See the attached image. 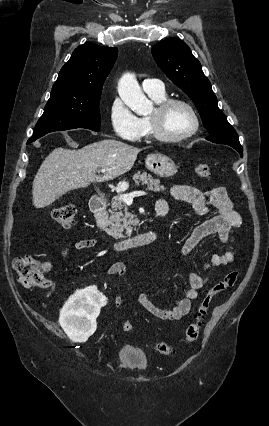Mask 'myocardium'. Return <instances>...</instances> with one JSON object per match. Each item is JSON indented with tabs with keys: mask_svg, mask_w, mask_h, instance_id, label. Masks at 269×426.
<instances>
[{
	"mask_svg": "<svg viewBox=\"0 0 269 426\" xmlns=\"http://www.w3.org/2000/svg\"><path fill=\"white\" fill-rule=\"evenodd\" d=\"M175 105H182L191 112L194 119V126L187 133L172 136L166 134L164 131L163 121L168 111ZM147 123L150 136L158 141L166 143L181 142L189 139L199 131L201 125L200 116L195 107L188 101L179 98L165 99L164 101L157 103L153 113L147 117Z\"/></svg>",
	"mask_w": 269,
	"mask_h": 426,
	"instance_id": "myocardium-1",
	"label": "myocardium"
}]
</instances>
